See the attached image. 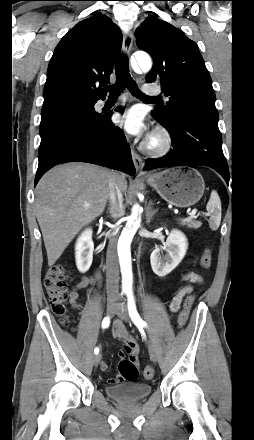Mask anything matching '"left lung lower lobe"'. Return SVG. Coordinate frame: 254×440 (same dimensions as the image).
<instances>
[{"instance_id": "0a47b994", "label": "left lung lower lobe", "mask_w": 254, "mask_h": 440, "mask_svg": "<svg viewBox=\"0 0 254 440\" xmlns=\"http://www.w3.org/2000/svg\"><path fill=\"white\" fill-rule=\"evenodd\" d=\"M153 117L168 129L172 137L173 149L163 158L147 159L145 170L204 165L215 169L227 183L229 182V170L222 151L218 121L194 114H184L179 120V125L167 126L154 114Z\"/></svg>"}]
</instances>
